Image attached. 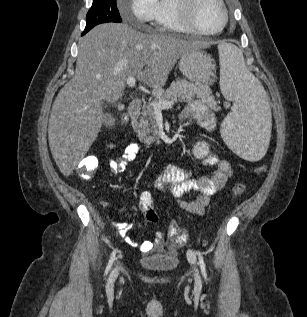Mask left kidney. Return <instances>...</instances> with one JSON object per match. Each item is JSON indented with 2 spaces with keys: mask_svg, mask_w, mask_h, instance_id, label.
Masks as SVG:
<instances>
[{
  "mask_svg": "<svg viewBox=\"0 0 307 317\" xmlns=\"http://www.w3.org/2000/svg\"><path fill=\"white\" fill-rule=\"evenodd\" d=\"M209 150V145L206 142H198L193 147V154L197 159H202L209 153Z\"/></svg>",
  "mask_w": 307,
  "mask_h": 317,
  "instance_id": "left-kidney-1",
  "label": "left kidney"
}]
</instances>
